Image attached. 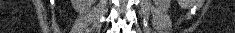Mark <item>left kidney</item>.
I'll use <instances>...</instances> for the list:
<instances>
[{"label":"left kidney","mask_w":235,"mask_h":33,"mask_svg":"<svg viewBox=\"0 0 235 33\" xmlns=\"http://www.w3.org/2000/svg\"><path fill=\"white\" fill-rule=\"evenodd\" d=\"M154 2L158 6V9L166 12L170 7L171 0H154Z\"/></svg>","instance_id":"left-kidney-1"}]
</instances>
